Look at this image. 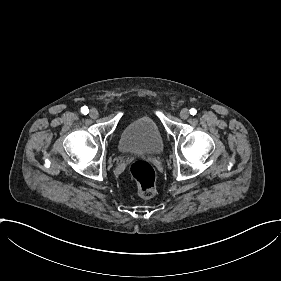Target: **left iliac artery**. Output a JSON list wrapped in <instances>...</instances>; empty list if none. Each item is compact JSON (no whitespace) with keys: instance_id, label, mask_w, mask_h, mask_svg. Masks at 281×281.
<instances>
[{"instance_id":"obj_1","label":"left iliac artery","mask_w":281,"mask_h":281,"mask_svg":"<svg viewBox=\"0 0 281 281\" xmlns=\"http://www.w3.org/2000/svg\"><path fill=\"white\" fill-rule=\"evenodd\" d=\"M189 111H190V114L193 116L197 113V110L194 108L190 109Z\"/></svg>"}]
</instances>
